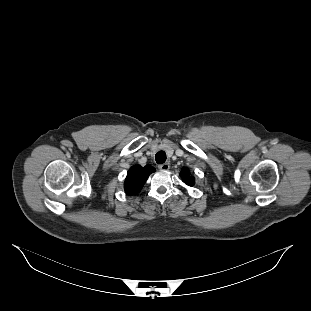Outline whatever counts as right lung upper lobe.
<instances>
[{"label": "right lung upper lobe", "instance_id": "1", "mask_svg": "<svg viewBox=\"0 0 311 311\" xmlns=\"http://www.w3.org/2000/svg\"><path fill=\"white\" fill-rule=\"evenodd\" d=\"M153 172H155V168L151 166L135 165L131 167L124 183L125 192L128 195L137 194Z\"/></svg>", "mask_w": 311, "mask_h": 311}]
</instances>
